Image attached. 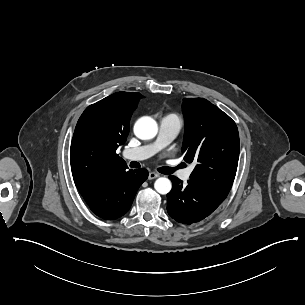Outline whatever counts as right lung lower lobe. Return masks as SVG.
Segmentation results:
<instances>
[{"instance_id": "98d812e1", "label": "right lung lower lobe", "mask_w": 305, "mask_h": 305, "mask_svg": "<svg viewBox=\"0 0 305 305\" xmlns=\"http://www.w3.org/2000/svg\"><path fill=\"white\" fill-rule=\"evenodd\" d=\"M147 178L146 169L121 170L81 195L98 217L117 219L130 209L138 188Z\"/></svg>"}]
</instances>
